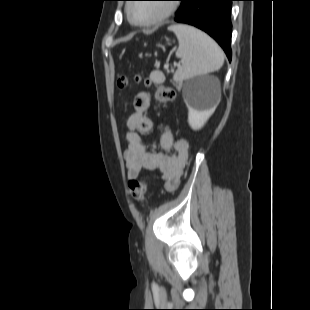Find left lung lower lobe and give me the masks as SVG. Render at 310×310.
I'll return each instance as SVG.
<instances>
[{
	"mask_svg": "<svg viewBox=\"0 0 310 310\" xmlns=\"http://www.w3.org/2000/svg\"><path fill=\"white\" fill-rule=\"evenodd\" d=\"M236 0H186L174 21L195 26L214 38L231 61V5Z\"/></svg>",
	"mask_w": 310,
	"mask_h": 310,
	"instance_id": "left-lung-lower-lobe-1",
	"label": "left lung lower lobe"
}]
</instances>
